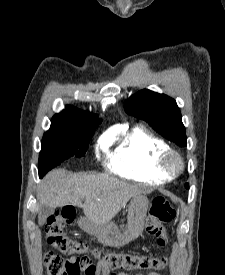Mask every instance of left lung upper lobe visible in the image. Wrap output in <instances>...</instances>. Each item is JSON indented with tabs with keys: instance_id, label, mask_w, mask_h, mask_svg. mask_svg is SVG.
Instances as JSON below:
<instances>
[{
	"instance_id": "1",
	"label": "left lung upper lobe",
	"mask_w": 225,
	"mask_h": 275,
	"mask_svg": "<svg viewBox=\"0 0 225 275\" xmlns=\"http://www.w3.org/2000/svg\"><path fill=\"white\" fill-rule=\"evenodd\" d=\"M124 107L128 114L145 120L168 140L180 147L187 145L181 113L171 97L143 89L129 97ZM185 187L189 188L187 183Z\"/></svg>"
}]
</instances>
